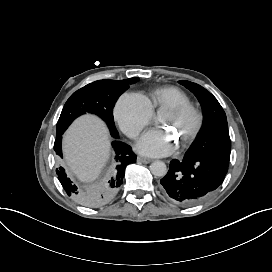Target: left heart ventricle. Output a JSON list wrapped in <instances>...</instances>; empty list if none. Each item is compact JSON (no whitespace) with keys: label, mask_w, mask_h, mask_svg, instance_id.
<instances>
[{"label":"left heart ventricle","mask_w":272,"mask_h":272,"mask_svg":"<svg viewBox=\"0 0 272 272\" xmlns=\"http://www.w3.org/2000/svg\"><path fill=\"white\" fill-rule=\"evenodd\" d=\"M162 122L165 124L172 125L180 133L184 132V120L174 112L166 110Z\"/></svg>","instance_id":"b2bd125f"}]
</instances>
